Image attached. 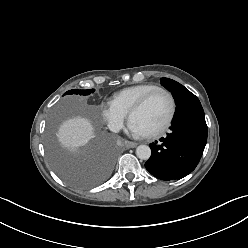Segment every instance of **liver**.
I'll list each match as a JSON object with an SVG mask.
<instances>
[{
  "instance_id": "liver-1",
  "label": "liver",
  "mask_w": 248,
  "mask_h": 248,
  "mask_svg": "<svg viewBox=\"0 0 248 248\" xmlns=\"http://www.w3.org/2000/svg\"><path fill=\"white\" fill-rule=\"evenodd\" d=\"M57 137L64 147L76 151L80 147L86 146L93 139L94 128L88 119L74 117L62 123Z\"/></svg>"
}]
</instances>
